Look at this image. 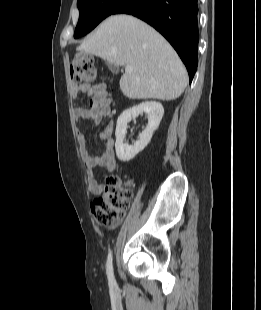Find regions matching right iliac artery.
I'll list each match as a JSON object with an SVG mask.
<instances>
[{
  "label": "right iliac artery",
  "mask_w": 261,
  "mask_h": 310,
  "mask_svg": "<svg viewBox=\"0 0 261 310\" xmlns=\"http://www.w3.org/2000/svg\"><path fill=\"white\" fill-rule=\"evenodd\" d=\"M106 273H107L109 285H110L111 287H114L115 284H116V281H115L114 273H113L112 252H111V251L109 252L108 258H107Z\"/></svg>",
  "instance_id": "1"
}]
</instances>
